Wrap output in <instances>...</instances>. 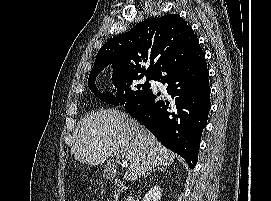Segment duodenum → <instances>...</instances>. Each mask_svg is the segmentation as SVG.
I'll return each mask as SVG.
<instances>
[{"label":"duodenum","mask_w":271,"mask_h":201,"mask_svg":"<svg viewBox=\"0 0 271 201\" xmlns=\"http://www.w3.org/2000/svg\"><path fill=\"white\" fill-rule=\"evenodd\" d=\"M113 186H114V189H115L118 197L121 198L122 195L126 191V187H125L124 183L121 180L116 179L113 181Z\"/></svg>","instance_id":"410a0bca"}]
</instances>
